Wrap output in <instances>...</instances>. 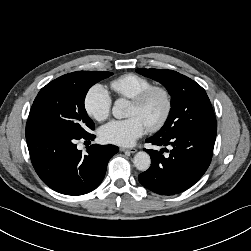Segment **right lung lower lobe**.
<instances>
[{"mask_svg": "<svg viewBox=\"0 0 251 251\" xmlns=\"http://www.w3.org/2000/svg\"><path fill=\"white\" fill-rule=\"evenodd\" d=\"M77 137L49 127L26 124V141L33 167L51 189L66 195H82L94 190L103 180L108 161L119 148L93 144L87 153L77 149Z\"/></svg>", "mask_w": 251, "mask_h": 251, "instance_id": "right-lung-lower-lobe-1", "label": "right lung lower lobe"}]
</instances>
